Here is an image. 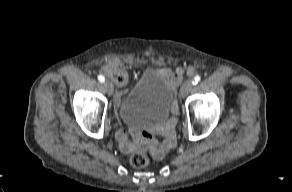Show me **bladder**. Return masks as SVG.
<instances>
[{
	"mask_svg": "<svg viewBox=\"0 0 292 192\" xmlns=\"http://www.w3.org/2000/svg\"><path fill=\"white\" fill-rule=\"evenodd\" d=\"M174 90L159 72L147 70L126 91L120 101L119 115L132 126H154L165 122L171 112Z\"/></svg>",
	"mask_w": 292,
	"mask_h": 192,
	"instance_id": "1",
	"label": "bladder"
}]
</instances>
